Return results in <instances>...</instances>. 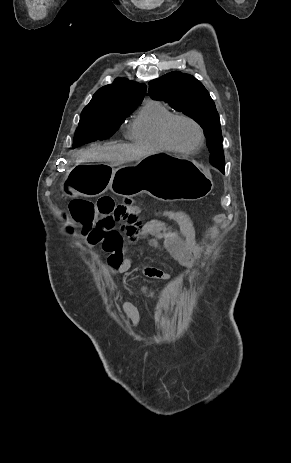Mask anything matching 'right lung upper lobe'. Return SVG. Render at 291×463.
<instances>
[{
	"label": "right lung upper lobe",
	"instance_id": "cb5924a9",
	"mask_svg": "<svg viewBox=\"0 0 291 463\" xmlns=\"http://www.w3.org/2000/svg\"><path fill=\"white\" fill-rule=\"evenodd\" d=\"M146 92V85L127 79L118 78L112 84L106 85L93 95L92 100L84 109L102 106L129 107L139 104Z\"/></svg>",
	"mask_w": 291,
	"mask_h": 463
}]
</instances>
